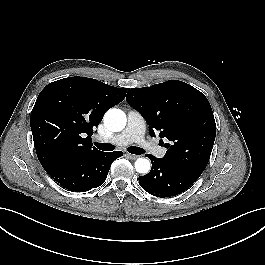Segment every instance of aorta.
Masks as SVG:
<instances>
[{"mask_svg": "<svg viewBox=\"0 0 265 265\" xmlns=\"http://www.w3.org/2000/svg\"><path fill=\"white\" fill-rule=\"evenodd\" d=\"M103 119L105 126L113 132L123 130L127 122L125 113L116 108L109 109ZM135 169L140 174H147L151 169L150 161L147 158H138L135 161Z\"/></svg>", "mask_w": 265, "mask_h": 265, "instance_id": "obj_1", "label": "aorta"}]
</instances>
